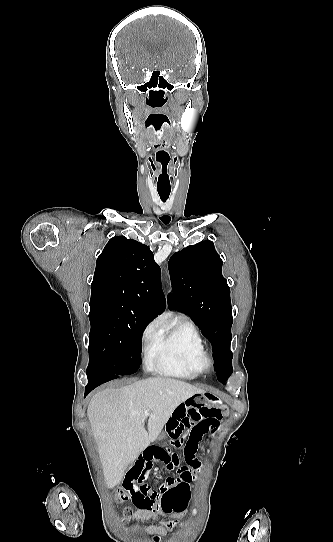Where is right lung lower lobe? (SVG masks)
Here are the masks:
<instances>
[{"label": "right lung lower lobe", "mask_w": 333, "mask_h": 542, "mask_svg": "<svg viewBox=\"0 0 333 542\" xmlns=\"http://www.w3.org/2000/svg\"><path fill=\"white\" fill-rule=\"evenodd\" d=\"M119 374H113L96 367L87 368L88 384L85 387V396L97 386L116 378Z\"/></svg>", "instance_id": "1"}]
</instances>
